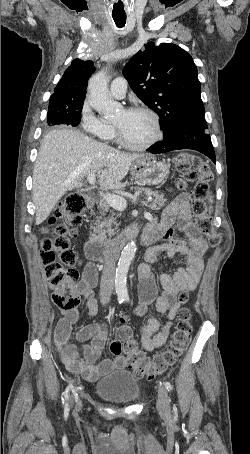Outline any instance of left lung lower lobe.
I'll use <instances>...</instances> for the list:
<instances>
[{
	"label": "left lung lower lobe",
	"mask_w": 250,
	"mask_h": 454,
	"mask_svg": "<svg viewBox=\"0 0 250 454\" xmlns=\"http://www.w3.org/2000/svg\"><path fill=\"white\" fill-rule=\"evenodd\" d=\"M205 118L186 121L177 126L164 140L152 145L148 151L153 154L179 149H193L208 156L216 163L210 135L206 131Z\"/></svg>",
	"instance_id": "left-lung-lower-lobe-1"
}]
</instances>
